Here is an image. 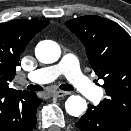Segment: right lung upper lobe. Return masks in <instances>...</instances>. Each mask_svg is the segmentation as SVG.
Instances as JSON below:
<instances>
[{
	"mask_svg": "<svg viewBox=\"0 0 131 131\" xmlns=\"http://www.w3.org/2000/svg\"><path fill=\"white\" fill-rule=\"evenodd\" d=\"M49 24L46 20H12L0 23V94L18 90L10 89L20 55L29 41Z\"/></svg>",
	"mask_w": 131,
	"mask_h": 131,
	"instance_id": "1",
	"label": "right lung upper lobe"
}]
</instances>
